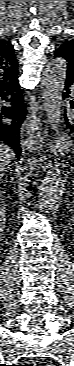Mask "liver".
Listing matches in <instances>:
<instances>
[{
	"label": "liver",
	"mask_w": 74,
	"mask_h": 366,
	"mask_svg": "<svg viewBox=\"0 0 74 366\" xmlns=\"http://www.w3.org/2000/svg\"><path fill=\"white\" fill-rule=\"evenodd\" d=\"M14 157L13 151L5 144H0V171L5 172L10 168V161Z\"/></svg>",
	"instance_id": "liver-1"
}]
</instances>
